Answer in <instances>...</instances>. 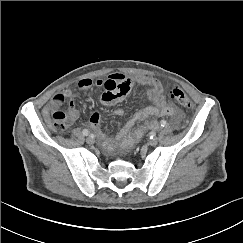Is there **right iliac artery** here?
Returning <instances> with one entry per match:
<instances>
[{
    "label": "right iliac artery",
    "mask_w": 243,
    "mask_h": 243,
    "mask_svg": "<svg viewBox=\"0 0 243 243\" xmlns=\"http://www.w3.org/2000/svg\"><path fill=\"white\" fill-rule=\"evenodd\" d=\"M82 133H83V135H85V136H88V135H89V131H88L87 129H84V130L82 131Z\"/></svg>",
    "instance_id": "1"
}]
</instances>
